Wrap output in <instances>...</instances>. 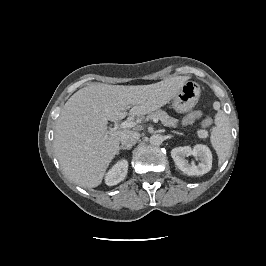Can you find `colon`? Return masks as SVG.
<instances>
[{
	"mask_svg": "<svg viewBox=\"0 0 266 266\" xmlns=\"http://www.w3.org/2000/svg\"><path fill=\"white\" fill-rule=\"evenodd\" d=\"M201 115H202L201 112L193 111L185 117L184 121L186 124H190V123L194 122L195 120L199 119L201 117ZM210 124H211L210 118H205L202 122L203 127H208Z\"/></svg>",
	"mask_w": 266,
	"mask_h": 266,
	"instance_id": "5ec220e1",
	"label": "colon"
}]
</instances>
